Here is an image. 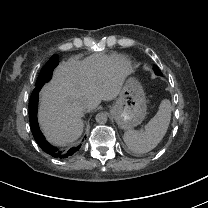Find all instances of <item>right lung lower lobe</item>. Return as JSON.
I'll return each instance as SVG.
<instances>
[{
    "label": "right lung lower lobe",
    "instance_id": "right-lung-lower-lobe-1",
    "mask_svg": "<svg viewBox=\"0 0 208 208\" xmlns=\"http://www.w3.org/2000/svg\"><path fill=\"white\" fill-rule=\"evenodd\" d=\"M58 65V57L53 56L49 59V61L45 64L43 69L41 70V75L44 76L42 79L43 81L39 84L37 88H35L31 94L30 102H29V121L31 125V130L34 139L40 146V148L47 154L51 155L54 158H67L74 153H76L80 146L73 147L67 151L60 150L56 147L50 145L45 137L43 136L42 132L39 129V125L37 122V108H38V93L41 87L48 82L52 77L53 69Z\"/></svg>",
    "mask_w": 208,
    "mask_h": 208
}]
</instances>
